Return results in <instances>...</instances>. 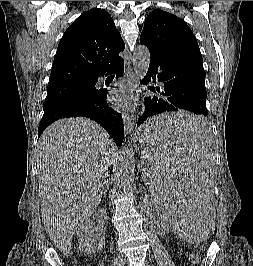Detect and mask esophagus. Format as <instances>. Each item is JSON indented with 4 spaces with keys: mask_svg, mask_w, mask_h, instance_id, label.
I'll return each mask as SVG.
<instances>
[{
    "mask_svg": "<svg viewBox=\"0 0 253 266\" xmlns=\"http://www.w3.org/2000/svg\"><path fill=\"white\" fill-rule=\"evenodd\" d=\"M135 79V74L132 67V59L126 65L125 69V80L128 83L133 82ZM123 123L126 134H132L135 128V116L129 113H123Z\"/></svg>",
    "mask_w": 253,
    "mask_h": 266,
    "instance_id": "esophagus-1",
    "label": "esophagus"
}]
</instances>
